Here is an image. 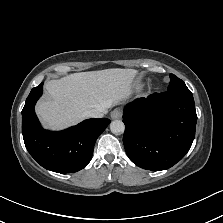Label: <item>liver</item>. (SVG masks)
Listing matches in <instances>:
<instances>
[{"instance_id":"obj_1","label":"liver","mask_w":223,"mask_h":223,"mask_svg":"<svg viewBox=\"0 0 223 223\" xmlns=\"http://www.w3.org/2000/svg\"><path fill=\"white\" fill-rule=\"evenodd\" d=\"M138 74L137 69L109 68L49 79L44 85L48 96L37 101L35 113L44 129L63 131L87 119L92 109L107 112L130 102Z\"/></svg>"}]
</instances>
